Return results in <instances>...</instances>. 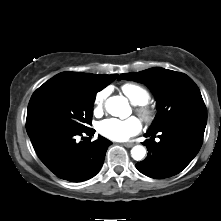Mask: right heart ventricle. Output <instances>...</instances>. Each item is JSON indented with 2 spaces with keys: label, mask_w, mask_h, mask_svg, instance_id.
Returning <instances> with one entry per match:
<instances>
[{
  "label": "right heart ventricle",
  "mask_w": 221,
  "mask_h": 221,
  "mask_svg": "<svg viewBox=\"0 0 221 221\" xmlns=\"http://www.w3.org/2000/svg\"><path fill=\"white\" fill-rule=\"evenodd\" d=\"M121 91L135 105H144L148 103L150 95L141 85L135 83H126L121 86Z\"/></svg>",
  "instance_id": "obj_1"
}]
</instances>
